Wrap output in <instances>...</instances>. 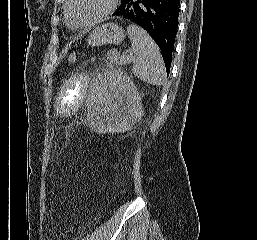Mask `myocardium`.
<instances>
[{"label":"myocardium","mask_w":257,"mask_h":240,"mask_svg":"<svg viewBox=\"0 0 257 240\" xmlns=\"http://www.w3.org/2000/svg\"><path fill=\"white\" fill-rule=\"evenodd\" d=\"M72 1L73 0H66L64 13H65V17H66L68 24L71 27L76 28V29L89 28V27L94 26L97 23L101 22L102 20H104L108 15H110L113 12V10L115 9L116 4H117V0H109L107 7L99 15H97L96 17H94L93 19H91L88 22L78 24V23H75L71 19V16H70L69 9H70V5H71Z\"/></svg>","instance_id":"1"}]
</instances>
